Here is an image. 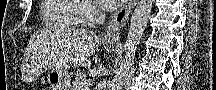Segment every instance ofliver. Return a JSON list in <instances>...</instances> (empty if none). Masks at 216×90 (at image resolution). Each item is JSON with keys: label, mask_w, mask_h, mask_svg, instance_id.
<instances>
[{"label": "liver", "mask_w": 216, "mask_h": 90, "mask_svg": "<svg viewBox=\"0 0 216 90\" xmlns=\"http://www.w3.org/2000/svg\"><path fill=\"white\" fill-rule=\"evenodd\" d=\"M100 36H96L88 30L81 28H68L65 34V66L66 68H76V66H86L90 54L98 48Z\"/></svg>", "instance_id": "obj_1"}]
</instances>
